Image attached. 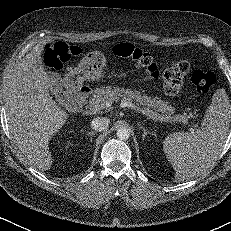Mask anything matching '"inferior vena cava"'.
<instances>
[{
  "label": "inferior vena cava",
  "mask_w": 231,
  "mask_h": 231,
  "mask_svg": "<svg viewBox=\"0 0 231 231\" xmlns=\"http://www.w3.org/2000/svg\"><path fill=\"white\" fill-rule=\"evenodd\" d=\"M109 124L110 120L106 117H97L94 118L91 122L92 128L99 132L107 129Z\"/></svg>",
  "instance_id": "1"
}]
</instances>
